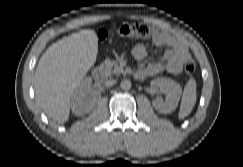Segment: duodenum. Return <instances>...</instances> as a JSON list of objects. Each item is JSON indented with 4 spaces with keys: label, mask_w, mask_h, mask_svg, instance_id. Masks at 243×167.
I'll use <instances>...</instances> for the list:
<instances>
[{
    "label": "duodenum",
    "mask_w": 243,
    "mask_h": 167,
    "mask_svg": "<svg viewBox=\"0 0 243 167\" xmlns=\"http://www.w3.org/2000/svg\"><path fill=\"white\" fill-rule=\"evenodd\" d=\"M92 76L96 82H102L104 79V71L100 66H96L92 71Z\"/></svg>",
    "instance_id": "obj_1"
}]
</instances>
